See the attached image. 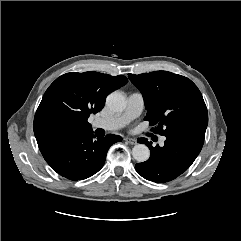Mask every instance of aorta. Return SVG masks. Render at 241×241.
<instances>
[{"label":"aorta","mask_w":241,"mask_h":241,"mask_svg":"<svg viewBox=\"0 0 241 241\" xmlns=\"http://www.w3.org/2000/svg\"><path fill=\"white\" fill-rule=\"evenodd\" d=\"M107 107L113 112H122L126 108V99L120 92H112L106 98ZM132 156L138 162L147 161L150 150L145 144H137L132 149Z\"/></svg>","instance_id":"obj_1"}]
</instances>
